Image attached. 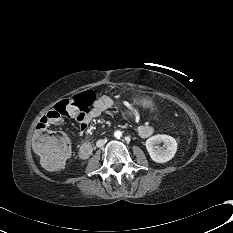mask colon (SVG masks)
I'll return each instance as SVG.
<instances>
[{
  "label": "colon",
  "mask_w": 233,
  "mask_h": 233,
  "mask_svg": "<svg viewBox=\"0 0 233 233\" xmlns=\"http://www.w3.org/2000/svg\"><path fill=\"white\" fill-rule=\"evenodd\" d=\"M98 95L99 90L97 89L86 90L64 100L58 106L61 113H64V110L69 107L86 112L96 101ZM33 148L40 157L43 166L50 170H57L65 163L71 153V141L62 132H51L46 127L38 125L33 138Z\"/></svg>",
  "instance_id": "obj_1"
}]
</instances>
